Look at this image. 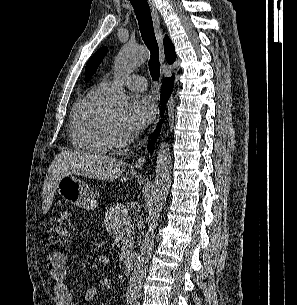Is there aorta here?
<instances>
[{
	"label": "aorta",
	"mask_w": 297,
	"mask_h": 305,
	"mask_svg": "<svg viewBox=\"0 0 297 305\" xmlns=\"http://www.w3.org/2000/svg\"><path fill=\"white\" fill-rule=\"evenodd\" d=\"M148 58V52L143 47L125 45L118 53L114 69L117 75L123 76L131 73L135 68L143 64ZM108 108L115 114H122L127 108V99L123 89V83L116 82L108 100ZM171 185V153L167 142H161L155 168V180L151 193V206L148 216V230L142 241L140 251L134 264L127 288L128 297H136L142 286L147 266L154 248L155 230L158 225L160 213L165 205L168 191Z\"/></svg>",
	"instance_id": "aorta-1"
}]
</instances>
